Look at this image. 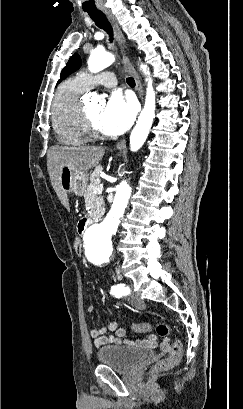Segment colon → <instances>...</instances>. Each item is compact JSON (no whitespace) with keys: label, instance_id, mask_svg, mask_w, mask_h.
Returning a JSON list of instances; mask_svg holds the SVG:
<instances>
[{"label":"colon","instance_id":"1","mask_svg":"<svg viewBox=\"0 0 243 409\" xmlns=\"http://www.w3.org/2000/svg\"><path fill=\"white\" fill-rule=\"evenodd\" d=\"M81 241L77 238L75 239L73 243V249L75 253L80 254L81 252ZM133 328L137 332L141 333H148L151 331V326L146 323H136L133 325ZM156 332L157 334L163 338L162 341V346L168 347L169 348V355L167 358L163 359L160 361L158 367L160 369H168L180 361L182 357V352H183V345L180 340H175L172 344H170V338H169V333H170V328L168 325L164 323H160L156 327Z\"/></svg>","mask_w":243,"mask_h":409}]
</instances>
